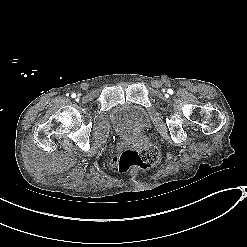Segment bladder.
I'll list each match as a JSON object with an SVG mask.
<instances>
[{
  "mask_svg": "<svg viewBox=\"0 0 247 247\" xmlns=\"http://www.w3.org/2000/svg\"><path fill=\"white\" fill-rule=\"evenodd\" d=\"M114 133L124 141L149 127L148 109L132 101H120L107 111Z\"/></svg>",
  "mask_w": 247,
  "mask_h": 247,
  "instance_id": "1",
  "label": "bladder"
}]
</instances>
